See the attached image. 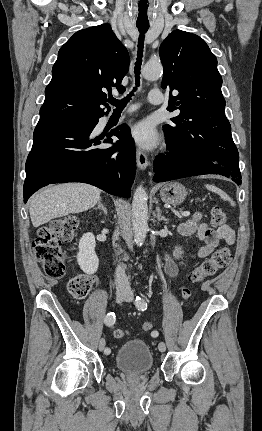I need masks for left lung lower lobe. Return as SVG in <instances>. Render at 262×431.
I'll return each mask as SVG.
<instances>
[{
    "instance_id": "left-lung-lower-lobe-1",
    "label": "left lung lower lobe",
    "mask_w": 262,
    "mask_h": 431,
    "mask_svg": "<svg viewBox=\"0 0 262 431\" xmlns=\"http://www.w3.org/2000/svg\"><path fill=\"white\" fill-rule=\"evenodd\" d=\"M218 154H200L177 151L169 147L170 152L160 154L154 160L155 182L174 179L217 174L232 177L237 184L241 183L239 154L235 144L230 143Z\"/></svg>"
}]
</instances>
